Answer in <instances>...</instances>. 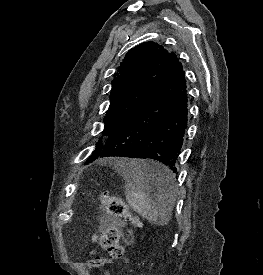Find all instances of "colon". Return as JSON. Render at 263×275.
<instances>
[{
    "label": "colon",
    "mask_w": 263,
    "mask_h": 275,
    "mask_svg": "<svg viewBox=\"0 0 263 275\" xmlns=\"http://www.w3.org/2000/svg\"><path fill=\"white\" fill-rule=\"evenodd\" d=\"M99 201L106 213L115 221L129 223L135 226L139 225V218L129 211L126 203L120 197L102 191L99 193ZM96 240L109 256H99L88 260L85 263L88 268H100L105 263L123 258L125 250L115 228H103L97 234Z\"/></svg>",
    "instance_id": "5ec220e1"
}]
</instances>
